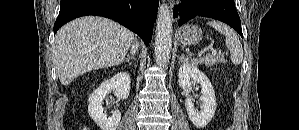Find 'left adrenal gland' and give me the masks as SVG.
Masks as SVG:
<instances>
[{
    "label": "left adrenal gland",
    "instance_id": "a2214340",
    "mask_svg": "<svg viewBox=\"0 0 299 130\" xmlns=\"http://www.w3.org/2000/svg\"><path fill=\"white\" fill-rule=\"evenodd\" d=\"M178 60H179V63L181 62H184L185 60H186V58H185V55L184 54H182L179 58H178Z\"/></svg>",
    "mask_w": 299,
    "mask_h": 130
}]
</instances>
